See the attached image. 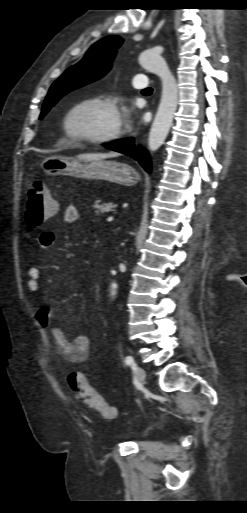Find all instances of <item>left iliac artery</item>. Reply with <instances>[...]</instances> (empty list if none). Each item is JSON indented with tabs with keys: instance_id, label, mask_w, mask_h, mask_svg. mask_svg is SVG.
<instances>
[{
	"instance_id": "left-iliac-artery-1",
	"label": "left iliac artery",
	"mask_w": 247,
	"mask_h": 513,
	"mask_svg": "<svg viewBox=\"0 0 247 513\" xmlns=\"http://www.w3.org/2000/svg\"><path fill=\"white\" fill-rule=\"evenodd\" d=\"M125 362H126L127 365H130V366H132L134 368L136 367V364H135L134 359H133L132 356H127L126 359H125Z\"/></svg>"
}]
</instances>
